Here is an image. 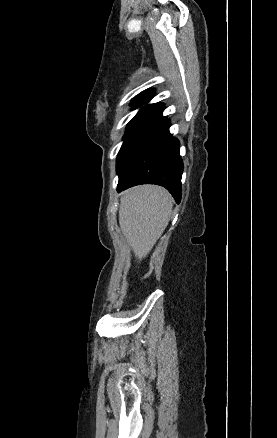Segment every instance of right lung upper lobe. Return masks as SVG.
Listing matches in <instances>:
<instances>
[{"label":"right lung upper lobe","instance_id":"cb5924a9","mask_svg":"<svg viewBox=\"0 0 277 438\" xmlns=\"http://www.w3.org/2000/svg\"><path fill=\"white\" fill-rule=\"evenodd\" d=\"M153 95H154V89H147V90L141 92L136 98H134L132 100L131 106H134V108H137L140 105L147 103L153 97ZM164 108L165 107L162 103L151 104V105L142 107L141 110L137 113V115L153 113V112H162L164 110Z\"/></svg>","mask_w":277,"mask_h":438}]
</instances>
